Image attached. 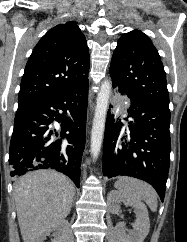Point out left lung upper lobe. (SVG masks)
Here are the masks:
<instances>
[{
    "instance_id": "left-lung-upper-lobe-1",
    "label": "left lung upper lobe",
    "mask_w": 187,
    "mask_h": 242,
    "mask_svg": "<svg viewBox=\"0 0 187 242\" xmlns=\"http://www.w3.org/2000/svg\"><path fill=\"white\" fill-rule=\"evenodd\" d=\"M110 76L114 85L149 104L169 110L166 73L157 49L147 35L134 30L118 40Z\"/></svg>"
}]
</instances>
